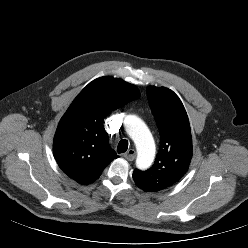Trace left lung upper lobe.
Segmentation results:
<instances>
[{
	"label": "left lung upper lobe",
	"mask_w": 248,
	"mask_h": 248,
	"mask_svg": "<svg viewBox=\"0 0 248 248\" xmlns=\"http://www.w3.org/2000/svg\"><path fill=\"white\" fill-rule=\"evenodd\" d=\"M149 103L160 133V149L154 165L135 169L133 179L145 192H158L178 182L192 159V137L186 110L168 88L149 86Z\"/></svg>",
	"instance_id": "obj_1"
}]
</instances>
